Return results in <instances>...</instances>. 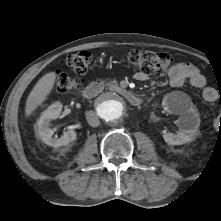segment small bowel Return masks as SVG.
<instances>
[{
	"instance_id": "1",
	"label": "small bowel",
	"mask_w": 221,
	"mask_h": 221,
	"mask_svg": "<svg viewBox=\"0 0 221 221\" xmlns=\"http://www.w3.org/2000/svg\"><path fill=\"white\" fill-rule=\"evenodd\" d=\"M134 77L138 81H145L148 78L142 72H137ZM187 80L194 87L203 89L202 95L206 101L215 102L220 99L221 96L214 88L206 87V80L195 65L187 62H178L170 67L169 83L171 86L180 87Z\"/></svg>"
}]
</instances>
